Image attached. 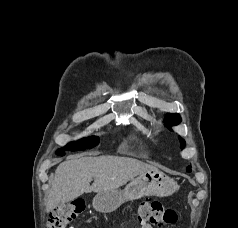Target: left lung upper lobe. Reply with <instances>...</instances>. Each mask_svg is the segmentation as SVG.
Listing matches in <instances>:
<instances>
[{"mask_svg": "<svg viewBox=\"0 0 238 228\" xmlns=\"http://www.w3.org/2000/svg\"><path fill=\"white\" fill-rule=\"evenodd\" d=\"M181 122V117L178 114H171L170 116L167 117V119L165 120V124L167 126H173V125H177ZM180 142H181V148L183 149L185 147V141L184 139H182L181 137H179ZM188 172L191 171V167H187L186 169Z\"/></svg>", "mask_w": 238, "mask_h": 228, "instance_id": "1", "label": "left lung upper lobe"}]
</instances>
